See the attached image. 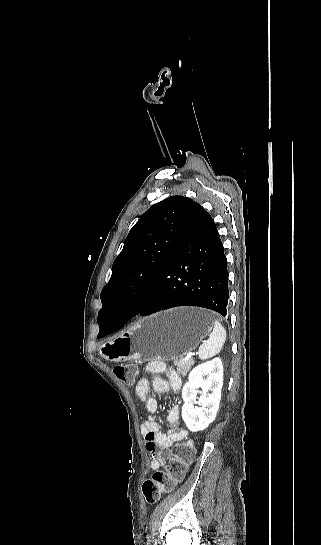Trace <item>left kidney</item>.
Segmentation results:
<instances>
[{"mask_svg":"<svg viewBox=\"0 0 321 545\" xmlns=\"http://www.w3.org/2000/svg\"><path fill=\"white\" fill-rule=\"evenodd\" d=\"M207 377V379H204ZM189 381L182 389V419L192 433L204 431L210 423L216 419L220 405L221 389L223 385V365L221 359L216 357L212 361L202 363L192 369L188 377ZM202 389L201 397H197L198 391ZM209 391H212L211 395ZM201 403L202 409L197 411L195 405Z\"/></svg>","mask_w":321,"mask_h":545,"instance_id":"5707ae66","label":"left kidney"}]
</instances>
